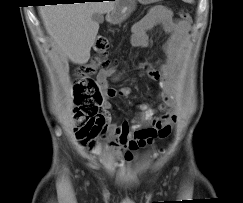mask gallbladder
<instances>
[{"instance_id":"bac80fb5","label":"gallbladder","mask_w":243,"mask_h":203,"mask_svg":"<svg viewBox=\"0 0 243 203\" xmlns=\"http://www.w3.org/2000/svg\"><path fill=\"white\" fill-rule=\"evenodd\" d=\"M92 20L99 24L103 22L104 18L103 15L100 13H93Z\"/></svg>"}]
</instances>
